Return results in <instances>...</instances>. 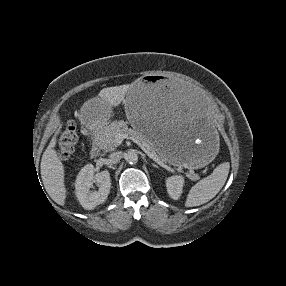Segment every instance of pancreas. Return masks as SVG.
<instances>
[{"label":"pancreas","instance_id":"1","mask_svg":"<svg viewBox=\"0 0 286 286\" xmlns=\"http://www.w3.org/2000/svg\"><path fill=\"white\" fill-rule=\"evenodd\" d=\"M118 134H127L130 137L135 138L144 144L145 147L155 154L161 161L166 162V159L156 152L153 144L142 133L129 128L124 121H114L99 131L97 136L99 147L104 149L106 152L115 150L121 144L117 140ZM187 177L192 181L199 179V176L193 171H190L187 174Z\"/></svg>","mask_w":286,"mask_h":286}]
</instances>
